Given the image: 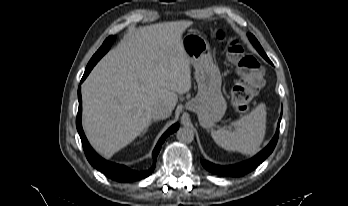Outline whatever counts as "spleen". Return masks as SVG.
Here are the masks:
<instances>
[{
    "label": "spleen",
    "mask_w": 348,
    "mask_h": 206,
    "mask_svg": "<svg viewBox=\"0 0 348 206\" xmlns=\"http://www.w3.org/2000/svg\"><path fill=\"white\" fill-rule=\"evenodd\" d=\"M265 133L266 110L265 105L260 104L249 114L234 121L231 126L212 130L211 136L225 150L254 155L258 152Z\"/></svg>",
    "instance_id": "obj_1"
}]
</instances>
